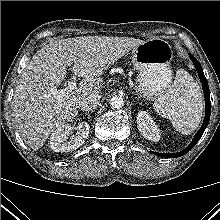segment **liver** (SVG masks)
<instances>
[{"mask_svg": "<svg viewBox=\"0 0 220 220\" xmlns=\"http://www.w3.org/2000/svg\"><path fill=\"white\" fill-rule=\"evenodd\" d=\"M144 41L126 37H75L51 41L22 71L14 91L12 110L16 127L33 150L44 145L57 127L72 121L79 103L103 88L101 75ZM82 81L60 101L54 91L65 79L68 66Z\"/></svg>", "mask_w": 220, "mask_h": 220, "instance_id": "obj_1", "label": "liver"}]
</instances>
